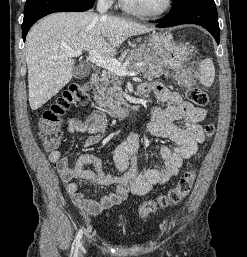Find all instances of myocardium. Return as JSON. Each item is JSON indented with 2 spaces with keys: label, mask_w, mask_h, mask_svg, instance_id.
<instances>
[{
  "label": "myocardium",
  "mask_w": 247,
  "mask_h": 257,
  "mask_svg": "<svg viewBox=\"0 0 247 257\" xmlns=\"http://www.w3.org/2000/svg\"><path fill=\"white\" fill-rule=\"evenodd\" d=\"M120 5L122 9L129 14L143 19L156 20L164 17L171 10L173 6V0H165L164 6L160 10L155 12H147L136 9L131 6L126 0H120Z\"/></svg>",
  "instance_id": "obj_1"
}]
</instances>
